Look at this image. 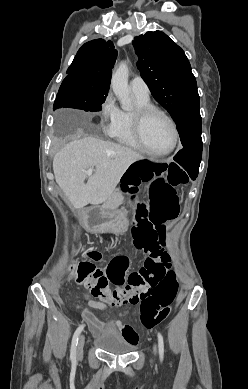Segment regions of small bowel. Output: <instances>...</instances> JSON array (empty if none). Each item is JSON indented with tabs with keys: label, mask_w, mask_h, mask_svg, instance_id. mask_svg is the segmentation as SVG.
Segmentation results:
<instances>
[{
	"label": "small bowel",
	"mask_w": 248,
	"mask_h": 389,
	"mask_svg": "<svg viewBox=\"0 0 248 389\" xmlns=\"http://www.w3.org/2000/svg\"><path fill=\"white\" fill-rule=\"evenodd\" d=\"M123 290L124 289H117V291L119 292H122ZM106 303L111 304L109 301H106L105 299L99 297V300L91 301L90 306L100 310H107L108 306ZM82 315L92 330L101 329L104 333L108 335H120L125 337L135 345L138 344V335L135 330L131 326L123 325L119 318L108 322H100L88 309H82ZM121 315L122 313L119 312L118 317H120Z\"/></svg>",
	"instance_id": "1"
}]
</instances>
